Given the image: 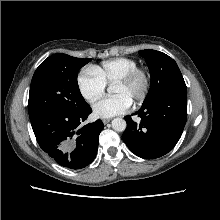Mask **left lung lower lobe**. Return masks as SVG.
<instances>
[{"mask_svg": "<svg viewBox=\"0 0 220 220\" xmlns=\"http://www.w3.org/2000/svg\"><path fill=\"white\" fill-rule=\"evenodd\" d=\"M133 115H138L141 122L125 117L123 141L141 158H159L171 151L181 137L187 120V90L163 94Z\"/></svg>", "mask_w": 220, "mask_h": 220, "instance_id": "left-lung-lower-lobe-1", "label": "left lung lower lobe"}]
</instances>
